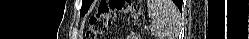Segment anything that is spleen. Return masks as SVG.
Masks as SVG:
<instances>
[{"label": "spleen", "mask_w": 249, "mask_h": 39, "mask_svg": "<svg viewBox=\"0 0 249 39\" xmlns=\"http://www.w3.org/2000/svg\"><path fill=\"white\" fill-rule=\"evenodd\" d=\"M147 4L152 33L159 39L169 37L172 21H177L179 17L177 9L170 7V1L166 0H148Z\"/></svg>", "instance_id": "1"}]
</instances>
